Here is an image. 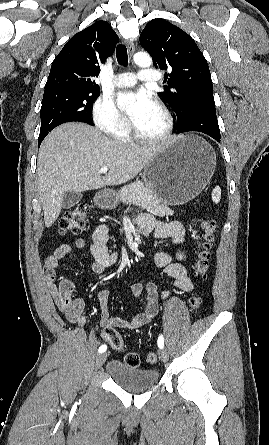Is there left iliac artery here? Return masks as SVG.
<instances>
[{"mask_svg": "<svg viewBox=\"0 0 269 445\" xmlns=\"http://www.w3.org/2000/svg\"><path fill=\"white\" fill-rule=\"evenodd\" d=\"M157 343H158V347H159V348H163V346H164V338H163L162 335H160V336L158 337V341H157Z\"/></svg>", "mask_w": 269, "mask_h": 445, "instance_id": "obj_1", "label": "left iliac artery"}]
</instances>
